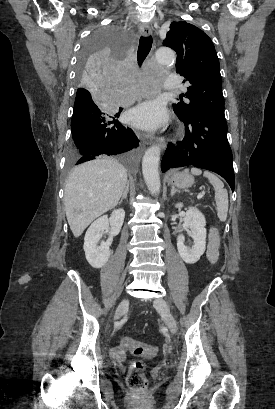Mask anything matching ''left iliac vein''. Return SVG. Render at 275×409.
<instances>
[{
  "label": "left iliac vein",
  "mask_w": 275,
  "mask_h": 409,
  "mask_svg": "<svg viewBox=\"0 0 275 409\" xmlns=\"http://www.w3.org/2000/svg\"><path fill=\"white\" fill-rule=\"evenodd\" d=\"M155 308L163 315L166 325L172 334L177 332V324L173 314L170 312L169 306L162 297L154 300Z\"/></svg>",
  "instance_id": "left-iliac-vein-1"
}]
</instances>
